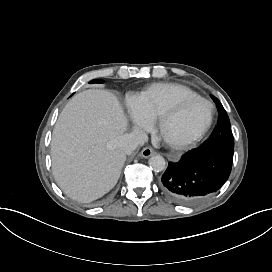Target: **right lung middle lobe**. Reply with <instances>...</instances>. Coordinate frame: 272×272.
I'll return each instance as SVG.
<instances>
[{
    "instance_id": "dd1d6c3e",
    "label": "right lung middle lobe",
    "mask_w": 272,
    "mask_h": 272,
    "mask_svg": "<svg viewBox=\"0 0 272 272\" xmlns=\"http://www.w3.org/2000/svg\"><path fill=\"white\" fill-rule=\"evenodd\" d=\"M103 80H99V79H96V80H92L90 83H102Z\"/></svg>"
}]
</instances>
